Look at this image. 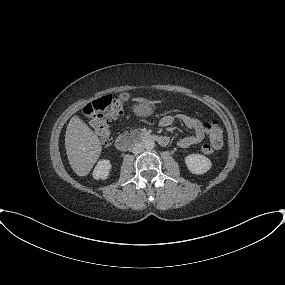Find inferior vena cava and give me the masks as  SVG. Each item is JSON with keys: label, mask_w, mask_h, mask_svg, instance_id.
Listing matches in <instances>:
<instances>
[{"label": "inferior vena cava", "mask_w": 285, "mask_h": 285, "mask_svg": "<svg viewBox=\"0 0 285 285\" xmlns=\"http://www.w3.org/2000/svg\"><path fill=\"white\" fill-rule=\"evenodd\" d=\"M144 151V144L136 143L132 148V153L138 155Z\"/></svg>", "instance_id": "inferior-vena-cava-1"}]
</instances>
